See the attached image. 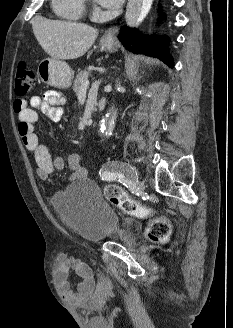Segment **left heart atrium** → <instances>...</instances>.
Wrapping results in <instances>:
<instances>
[{"instance_id": "obj_1", "label": "left heart atrium", "mask_w": 233, "mask_h": 328, "mask_svg": "<svg viewBox=\"0 0 233 328\" xmlns=\"http://www.w3.org/2000/svg\"><path fill=\"white\" fill-rule=\"evenodd\" d=\"M98 1L104 7L114 9L119 7L124 0H98Z\"/></svg>"}]
</instances>
